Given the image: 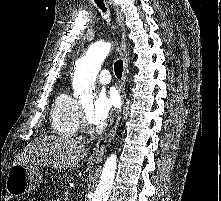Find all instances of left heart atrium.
<instances>
[{
  "instance_id": "left-heart-atrium-1",
  "label": "left heart atrium",
  "mask_w": 221,
  "mask_h": 201,
  "mask_svg": "<svg viewBox=\"0 0 221 201\" xmlns=\"http://www.w3.org/2000/svg\"><path fill=\"white\" fill-rule=\"evenodd\" d=\"M119 107V99L114 91H102L90 109V117L98 124L106 122Z\"/></svg>"
}]
</instances>
